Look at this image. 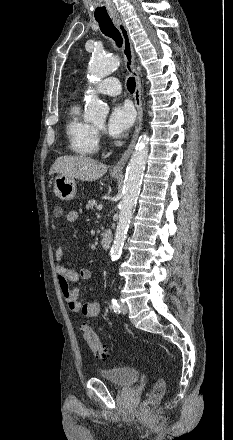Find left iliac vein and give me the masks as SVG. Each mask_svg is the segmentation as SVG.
Listing matches in <instances>:
<instances>
[{
  "label": "left iliac vein",
  "mask_w": 233,
  "mask_h": 440,
  "mask_svg": "<svg viewBox=\"0 0 233 440\" xmlns=\"http://www.w3.org/2000/svg\"><path fill=\"white\" fill-rule=\"evenodd\" d=\"M128 310H129V309H128L127 304L121 302V303H120V311H121L123 314H127V313H128Z\"/></svg>",
  "instance_id": "4c4485c4"
}]
</instances>
